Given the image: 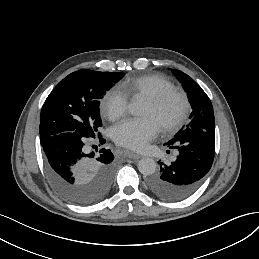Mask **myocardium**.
<instances>
[{
    "mask_svg": "<svg viewBox=\"0 0 259 259\" xmlns=\"http://www.w3.org/2000/svg\"><path fill=\"white\" fill-rule=\"evenodd\" d=\"M148 100L157 111L162 110L172 101L179 102V112L176 118L170 122H162L160 124L162 130L167 133H175L184 125L189 114L190 101L183 90L173 88L157 96L149 97Z\"/></svg>",
    "mask_w": 259,
    "mask_h": 259,
    "instance_id": "1",
    "label": "myocardium"
}]
</instances>
